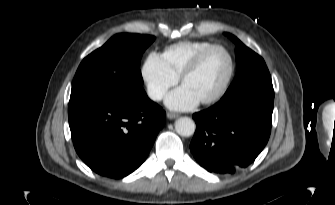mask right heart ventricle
<instances>
[{
	"instance_id": "right-heart-ventricle-1",
	"label": "right heart ventricle",
	"mask_w": 335,
	"mask_h": 205,
	"mask_svg": "<svg viewBox=\"0 0 335 205\" xmlns=\"http://www.w3.org/2000/svg\"><path fill=\"white\" fill-rule=\"evenodd\" d=\"M210 45L212 43L208 41H181L167 46L161 56L168 68L179 77L193 58Z\"/></svg>"
}]
</instances>
